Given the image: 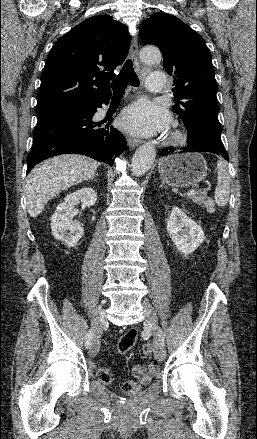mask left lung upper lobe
<instances>
[{
  "label": "left lung upper lobe",
  "mask_w": 257,
  "mask_h": 439,
  "mask_svg": "<svg viewBox=\"0 0 257 439\" xmlns=\"http://www.w3.org/2000/svg\"><path fill=\"white\" fill-rule=\"evenodd\" d=\"M139 35L163 53L164 68L174 78L173 109L191 131L188 136L196 139L194 132L203 127L220 138L218 86L205 40L177 17L159 12L143 21Z\"/></svg>",
  "instance_id": "1"
}]
</instances>
